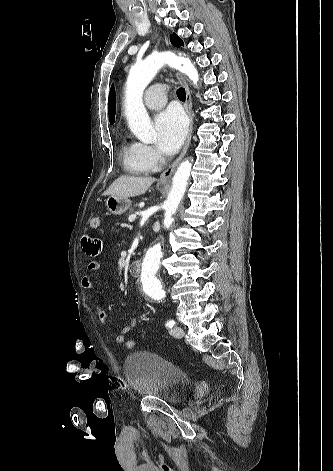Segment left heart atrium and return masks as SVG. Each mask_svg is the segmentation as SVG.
<instances>
[{
	"instance_id": "1",
	"label": "left heart atrium",
	"mask_w": 333,
	"mask_h": 471,
	"mask_svg": "<svg viewBox=\"0 0 333 471\" xmlns=\"http://www.w3.org/2000/svg\"><path fill=\"white\" fill-rule=\"evenodd\" d=\"M156 143L165 154H174L181 146L187 133V120L177 108H168L155 119Z\"/></svg>"
}]
</instances>
